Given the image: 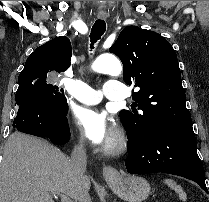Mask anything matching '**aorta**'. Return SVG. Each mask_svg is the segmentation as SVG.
Listing matches in <instances>:
<instances>
[{
    "instance_id": "1",
    "label": "aorta",
    "mask_w": 209,
    "mask_h": 202,
    "mask_svg": "<svg viewBox=\"0 0 209 202\" xmlns=\"http://www.w3.org/2000/svg\"><path fill=\"white\" fill-rule=\"evenodd\" d=\"M92 70L117 77L122 73V65L114 55L104 54L94 61Z\"/></svg>"
}]
</instances>
